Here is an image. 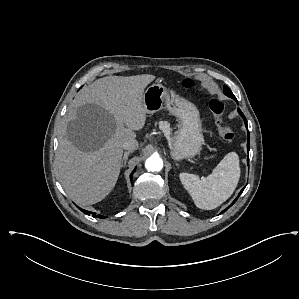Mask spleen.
I'll return each instance as SVG.
<instances>
[{
  "label": "spleen",
  "mask_w": 299,
  "mask_h": 299,
  "mask_svg": "<svg viewBox=\"0 0 299 299\" xmlns=\"http://www.w3.org/2000/svg\"><path fill=\"white\" fill-rule=\"evenodd\" d=\"M179 177L195 205L200 209L212 210L235 191L240 178L239 157L235 152L228 153L204 179L189 173H180Z\"/></svg>",
  "instance_id": "spleen-1"
}]
</instances>
